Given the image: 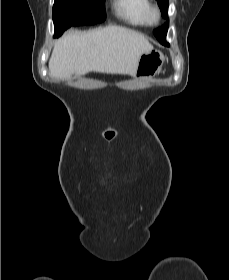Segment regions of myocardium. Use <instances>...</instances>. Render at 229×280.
I'll return each instance as SVG.
<instances>
[{
  "mask_svg": "<svg viewBox=\"0 0 229 280\" xmlns=\"http://www.w3.org/2000/svg\"><path fill=\"white\" fill-rule=\"evenodd\" d=\"M160 10L156 6H150L146 13L147 23L154 25L160 20Z\"/></svg>",
  "mask_w": 229,
  "mask_h": 280,
  "instance_id": "myocardium-1",
  "label": "myocardium"
}]
</instances>
